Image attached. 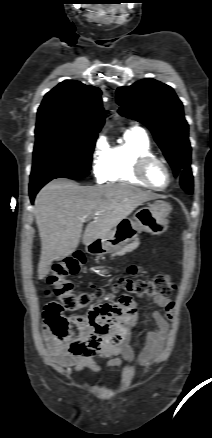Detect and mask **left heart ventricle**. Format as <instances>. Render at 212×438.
I'll return each mask as SVG.
<instances>
[{"mask_svg":"<svg viewBox=\"0 0 212 438\" xmlns=\"http://www.w3.org/2000/svg\"><path fill=\"white\" fill-rule=\"evenodd\" d=\"M148 180L156 187H164L168 182V175L159 163H152L147 169Z\"/></svg>","mask_w":212,"mask_h":438,"instance_id":"1","label":"left heart ventricle"}]
</instances>
